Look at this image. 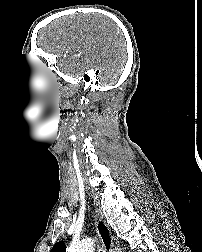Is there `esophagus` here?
Here are the masks:
<instances>
[{"label": "esophagus", "mask_w": 202, "mask_h": 252, "mask_svg": "<svg viewBox=\"0 0 202 252\" xmlns=\"http://www.w3.org/2000/svg\"><path fill=\"white\" fill-rule=\"evenodd\" d=\"M95 224L105 252H113L114 244L111 237V231L105 221L99 216L97 211L95 215Z\"/></svg>", "instance_id": "esophagus-1"}]
</instances>
